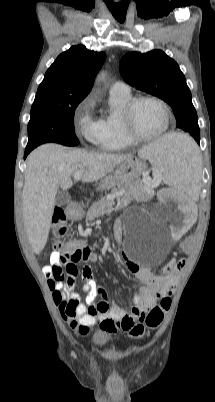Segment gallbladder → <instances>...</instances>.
<instances>
[{"label":"gallbladder","mask_w":215,"mask_h":402,"mask_svg":"<svg viewBox=\"0 0 215 402\" xmlns=\"http://www.w3.org/2000/svg\"><path fill=\"white\" fill-rule=\"evenodd\" d=\"M71 200L70 195L67 192H58L55 198V204L62 206L68 204Z\"/></svg>","instance_id":"1"}]
</instances>
